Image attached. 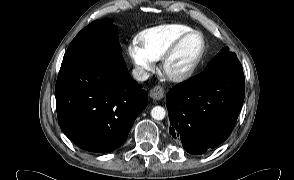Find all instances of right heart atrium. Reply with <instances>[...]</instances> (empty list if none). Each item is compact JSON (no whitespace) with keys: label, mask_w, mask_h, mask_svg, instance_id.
Instances as JSON below:
<instances>
[{"label":"right heart atrium","mask_w":294,"mask_h":180,"mask_svg":"<svg viewBox=\"0 0 294 180\" xmlns=\"http://www.w3.org/2000/svg\"><path fill=\"white\" fill-rule=\"evenodd\" d=\"M127 52L140 75L145 76L152 69L154 60L137 40L128 44Z\"/></svg>","instance_id":"right-heart-atrium-1"}]
</instances>
